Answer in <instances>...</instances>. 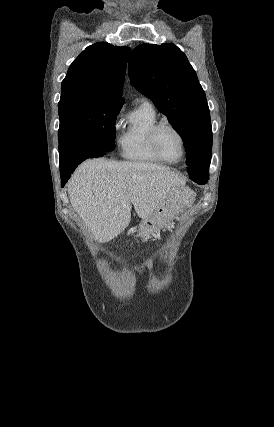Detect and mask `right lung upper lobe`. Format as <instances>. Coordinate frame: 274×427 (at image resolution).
<instances>
[{
    "label": "right lung upper lobe",
    "mask_w": 274,
    "mask_h": 427,
    "mask_svg": "<svg viewBox=\"0 0 274 427\" xmlns=\"http://www.w3.org/2000/svg\"><path fill=\"white\" fill-rule=\"evenodd\" d=\"M130 48L98 42L71 64L62 82L58 107L85 101H122Z\"/></svg>",
    "instance_id": "cb5924a9"
}]
</instances>
